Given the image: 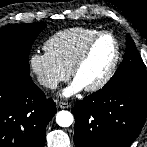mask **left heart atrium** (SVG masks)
<instances>
[{
    "instance_id": "left-heart-atrium-1",
    "label": "left heart atrium",
    "mask_w": 147,
    "mask_h": 147,
    "mask_svg": "<svg viewBox=\"0 0 147 147\" xmlns=\"http://www.w3.org/2000/svg\"><path fill=\"white\" fill-rule=\"evenodd\" d=\"M83 88L84 86L79 81L74 79L72 83L66 89H64V91L62 92V95L64 97H70L80 92Z\"/></svg>"
}]
</instances>
